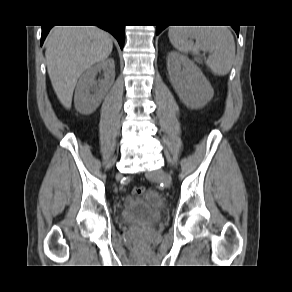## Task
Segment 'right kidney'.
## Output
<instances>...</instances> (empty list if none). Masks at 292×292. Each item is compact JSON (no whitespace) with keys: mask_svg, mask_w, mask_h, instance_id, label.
I'll return each mask as SVG.
<instances>
[{"mask_svg":"<svg viewBox=\"0 0 292 292\" xmlns=\"http://www.w3.org/2000/svg\"><path fill=\"white\" fill-rule=\"evenodd\" d=\"M104 73V79L95 80L98 72ZM115 79L114 59L108 58L89 67L80 77L74 96L77 111L91 114L100 105Z\"/></svg>","mask_w":292,"mask_h":292,"instance_id":"right-kidney-1","label":"right kidney"}]
</instances>
